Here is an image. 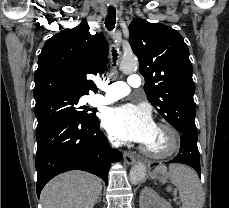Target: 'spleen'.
I'll list each match as a JSON object with an SVG mask.
<instances>
[{
  "mask_svg": "<svg viewBox=\"0 0 229 208\" xmlns=\"http://www.w3.org/2000/svg\"><path fill=\"white\" fill-rule=\"evenodd\" d=\"M154 174H166L173 186H177L182 200L183 208H203L204 196L199 178L191 168L184 164H170L169 172L166 166L155 168ZM168 186L167 192H171Z\"/></svg>",
  "mask_w": 229,
  "mask_h": 208,
  "instance_id": "obj_1",
  "label": "spleen"
}]
</instances>
